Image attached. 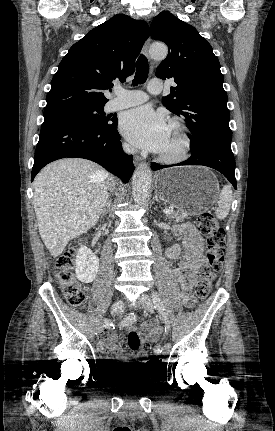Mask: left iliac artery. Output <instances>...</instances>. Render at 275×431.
Here are the masks:
<instances>
[{"label":"left iliac artery","instance_id":"obj_1","mask_svg":"<svg viewBox=\"0 0 275 431\" xmlns=\"http://www.w3.org/2000/svg\"><path fill=\"white\" fill-rule=\"evenodd\" d=\"M152 299H153V302H154V304H155V307L157 308V310H158V312H159V314H160L161 318H162V319L165 321V323H166L165 332H168V331H169V329H170V325H169V320H168V317H167V313H166V310H165V307H164L163 301L161 300V298H160V296L158 295V293H157V292H153V293H152ZM154 352H155L156 354H160V353H162L161 346H160V345H157V346L155 347V349H154Z\"/></svg>","mask_w":275,"mask_h":431}]
</instances>
